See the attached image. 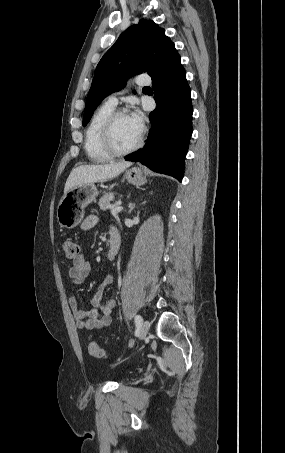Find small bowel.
<instances>
[{
  "label": "small bowel",
  "instance_id": "1",
  "mask_svg": "<svg viewBox=\"0 0 285 453\" xmlns=\"http://www.w3.org/2000/svg\"><path fill=\"white\" fill-rule=\"evenodd\" d=\"M97 222L98 217L89 216L83 221L82 228L84 230H89L93 228ZM111 238L120 239L119 233L114 228L110 230V239ZM90 272V263L86 260L83 254H80V256L73 261V264L69 268V277L74 284L78 285L85 281ZM112 282L113 277L111 275L105 277L92 299L93 308L89 311H84L79 308L75 295L69 296V306L78 328L94 330L109 327L112 324V313L115 307V300L107 299L103 301L104 290Z\"/></svg>",
  "mask_w": 285,
  "mask_h": 453
}]
</instances>
